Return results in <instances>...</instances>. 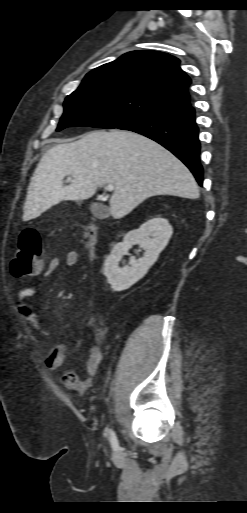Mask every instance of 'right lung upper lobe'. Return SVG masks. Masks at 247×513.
<instances>
[{
    "instance_id": "cb5924a9",
    "label": "right lung upper lobe",
    "mask_w": 247,
    "mask_h": 513,
    "mask_svg": "<svg viewBox=\"0 0 247 513\" xmlns=\"http://www.w3.org/2000/svg\"><path fill=\"white\" fill-rule=\"evenodd\" d=\"M179 60L158 51H132L93 69L78 90L118 88L137 92L164 105L168 110L190 105L191 79Z\"/></svg>"
}]
</instances>
